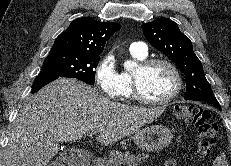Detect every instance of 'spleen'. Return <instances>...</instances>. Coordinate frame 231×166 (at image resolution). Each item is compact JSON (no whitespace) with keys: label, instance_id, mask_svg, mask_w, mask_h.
Returning a JSON list of instances; mask_svg holds the SVG:
<instances>
[{"label":"spleen","instance_id":"3e777b00","mask_svg":"<svg viewBox=\"0 0 231 166\" xmlns=\"http://www.w3.org/2000/svg\"><path fill=\"white\" fill-rule=\"evenodd\" d=\"M214 166H228L226 160H225V155L221 154L220 156L217 157V159L213 163Z\"/></svg>","mask_w":231,"mask_h":166}]
</instances>
